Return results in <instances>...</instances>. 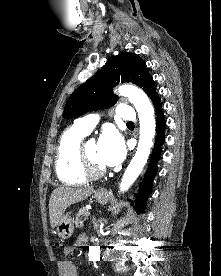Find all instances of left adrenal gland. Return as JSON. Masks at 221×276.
I'll list each match as a JSON object with an SVG mask.
<instances>
[{
	"label": "left adrenal gland",
	"mask_w": 221,
	"mask_h": 276,
	"mask_svg": "<svg viewBox=\"0 0 221 276\" xmlns=\"http://www.w3.org/2000/svg\"><path fill=\"white\" fill-rule=\"evenodd\" d=\"M93 224H94V228H97V223H96V221H95V218L93 219Z\"/></svg>",
	"instance_id": "left-adrenal-gland-1"
}]
</instances>
